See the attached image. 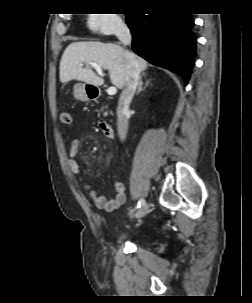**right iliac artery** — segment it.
Returning <instances> with one entry per match:
<instances>
[{
    "mask_svg": "<svg viewBox=\"0 0 252 303\" xmlns=\"http://www.w3.org/2000/svg\"><path fill=\"white\" fill-rule=\"evenodd\" d=\"M144 204V200L143 199H140L137 203V206L136 208H140L142 205Z\"/></svg>",
    "mask_w": 252,
    "mask_h": 303,
    "instance_id": "obj_1",
    "label": "right iliac artery"
}]
</instances>
